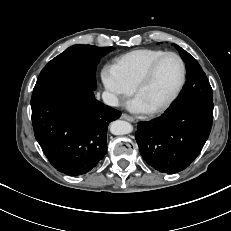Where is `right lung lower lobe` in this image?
Instances as JSON below:
<instances>
[{"label":"right lung lower lobe","instance_id":"98d812e1","mask_svg":"<svg viewBox=\"0 0 231 231\" xmlns=\"http://www.w3.org/2000/svg\"><path fill=\"white\" fill-rule=\"evenodd\" d=\"M31 108L34 135L44 154L58 171L72 176L90 171L104 157L108 124L121 115L79 85L33 92Z\"/></svg>","mask_w":231,"mask_h":231}]
</instances>
